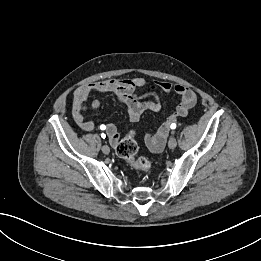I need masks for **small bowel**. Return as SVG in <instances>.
I'll use <instances>...</instances> for the list:
<instances>
[{
    "label": "small bowel",
    "mask_w": 261,
    "mask_h": 261,
    "mask_svg": "<svg viewBox=\"0 0 261 261\" xmlns=\"http://www.w3.org/2000/svg\"><path fill=\"white\" fill-rule=\"evenodd\" d=\"M146 81L141 77L127 79L110 78L103 81L91 83L81 87L74 95L73 117L77 126L85 131L94 130V122L83 117V106L89 101L92 93L106 94L113 93L117 100L126 106L131 121H138L146 110L158 112L162 105L157 91L174 92L180 97V103L174 113L167 119L153 134L145 136L147 147L154 151H161L169 133L170 123L178 117H184L196 103V94L192 89L182 84H172L167 81H155L150 86V91L138 94L140 89L146 87ZM107 137L111 145L116 146L120 135L114 124L105 125Z\"/></svg>",
    "instance_id": "c3829d8e"
}]
</instances>
